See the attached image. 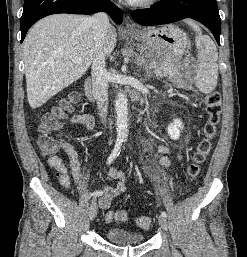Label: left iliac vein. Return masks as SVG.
Returning a JSON list of instances; mask_svg holds the SVG:
<instances>
[{
	"label": "left iliac vein",
	"instance_id": "1",
	"mask_svg": "<svg viewBox=\"0 0 247 257\" xmlns=\"http://www.w3.org/2000/svg\"><path fill=\"white\" fill-rule=\"evenodd\" d=\"M158 222H159L160 227H161L164 231H167V229H168V223H167L166 218L163 217V216H159ZM173 251H174V253H176L175 250H173Z\"/></svg>",
	"mask_w": 247,
	"mask_h": 257
}]
</instances>
